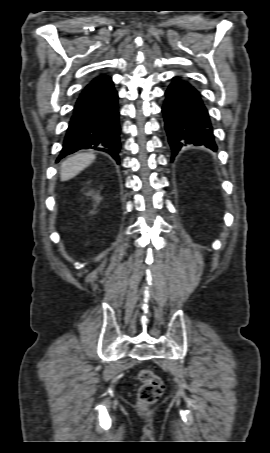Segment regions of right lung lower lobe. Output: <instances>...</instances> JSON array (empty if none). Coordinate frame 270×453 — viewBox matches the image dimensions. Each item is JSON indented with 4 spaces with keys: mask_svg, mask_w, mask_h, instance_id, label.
Listing matches in <instances>:
<instances>
[{
    "mask_svg": "<svg viewBox=\"0 0 270 453\" xmlns=\"http://www.w3.org/2000/svg\"><path fill=\"white\" fill-rule=\"evenodd\" d=\"M118 93L107 75L95 77L80 93L63 141L59 161L81 149L111 155L119 163Z\"/></svg>",
    "mask_w": 270,
    "mask_h": 453,
    "instance_id": "right-lung-lower-lobe-1",
    "label": "right lung lower lobe"
}]
</instances>
